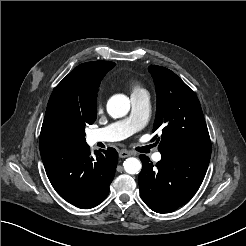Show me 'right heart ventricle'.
I'll use <instances>...</instances> for the list:
<instances>
[{
	"label": "right heart ventricle",
	"instance_id": "e07e8e85",
	"mask_svg": "<svg viewBox=\"0 0 246 246\" xmlns=\"http://www.w3.org/2000/svg\"><path fill=\"white\" fill-rule=\"evenodd\" d=\"M140 92H146V91L139 84H133L132 85V94H136V93H140Z\"/></svg>",
	"mask_w": 246,
	"mask_h": 246
}]
</instances>
